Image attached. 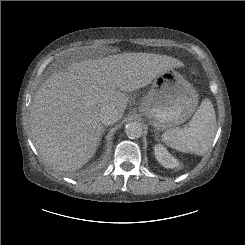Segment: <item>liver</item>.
Wrapping results in <instances>:
<instances>
[{"mask_svg": "<svg viewBox=\"0 0 245 245\" xmlns=\"http://www.w3.org/2000/svg\"><path fill=\"white\" fill-rule=\"evenodd\" d=\"M183 63L167 55L122 53L83 60L52 74L36 92L30 113L32 141L42 159L60 171L80 169L103 134L99 112L114 107L119 118L132 92Z\"/></svg>", "mask_w": 245, "mask_h": 245, "instance_id": "liver-1", "label": "liver"}]
</instances>
